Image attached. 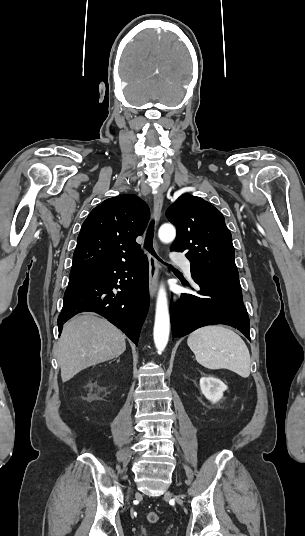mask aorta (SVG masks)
Instances as JSON below:
<instances>
[{
  "label": "aorta",
  "instance_id": "762f6f07",
  "mask_svg": "<svg viewBox=\"0 0 305 536\" xmlns=\"http://www.w3.org/2000/svg\"><path fill=\"white\" fill-rule=\"evenodd\" d=\"M159 239L163 243H170L175 239L176 230L171 224H163L158 232ZM170 333V316L168 309L167 293L163 285L160 286L155 311L154 343L158 353L164 351L167 346Z\"/></svg>",
  "mask_w": 305,
  "mask_h": 536
}]
</instances>
